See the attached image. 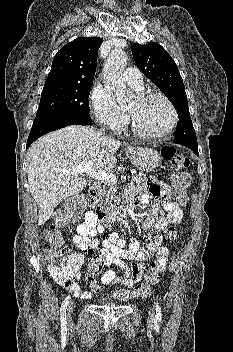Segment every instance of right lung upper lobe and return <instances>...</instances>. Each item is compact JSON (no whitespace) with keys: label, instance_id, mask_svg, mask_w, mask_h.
<instances>
[{"label":"right lung upper lobe","instance_id":"right-lung-upper-lobe-1","mask_svg":"<svg viewBox=\"0 0 233 352\" xmlns=\"http://www.w3.org/2000/svg\"><path fill=\"white\" fill-rule=\"evenodd\" d=\"M102 41L97 37H79L63 46L54 56L44 87L92 85Z\"/></svg>","mask_w":233,"mask_h":352}]
</instances>
